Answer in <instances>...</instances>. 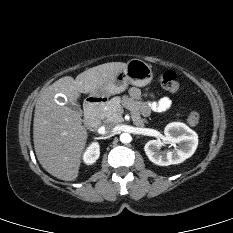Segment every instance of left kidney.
Wrapping results in <instances>:
<instances>
[{
  "mask_svg": "<svg viewBox=\"0 0 233 233\" xmlns=\"http://www.w3.org/2000/svg\"><path fill=\"white\" fill-rule=\"evenodd\" d=\"M163 140H150L144 146L149 160L160 166L179 164L190 158L198 145V135L186 124L172 122L165 127ZM165 144L175 145L172 151L161 152ZM179 144V146H176Z\"/></svg>",
  "mask_w": 233,
  "mask_h": 233,
  "instance_id": "obj_1",
  "label": "left kidney"
}]
</instances>
